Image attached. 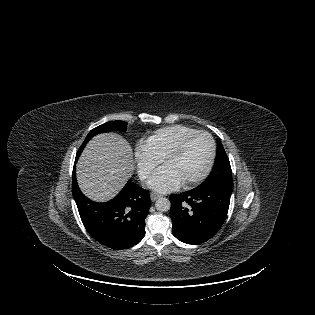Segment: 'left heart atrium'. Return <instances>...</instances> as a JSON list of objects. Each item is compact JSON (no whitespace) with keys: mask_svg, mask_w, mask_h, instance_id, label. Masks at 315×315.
Segmentation results:
<instances>
[{"mask_svg":"<svg viewBox=\"0 0 315 315\" xmlns=\"http://www.w3.org/2000/svg\"><path fill=\"white\" fill-rule=\"evenodd\" d=\"M181 183V178L168 166L159 168L148 181L149 187L159 192L174 190Z\"/></svg>","mask_w":315,"mask_h":315,"instance_id":"left-heart-atrium-1","label":"left heart atrium"}]
</instances>
